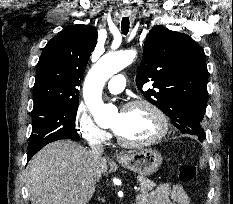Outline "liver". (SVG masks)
<instances>
[{"instance_id":"obj_1","label":"liver","mask_w":233,"mask_h":204,"mask_svg":"<svg viewBox=\"0 0 233 204\" xmlns=\"http://www.w3.org/2000/svg\"><path fill=\"white\" fill-rule=\"evenodd\" d=\"M96 170L105 175L107 161L71 140H60L41 149L27 166L31 204H87L92 198Z\"/></svg>"}]
</instances>
